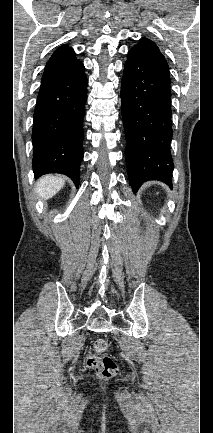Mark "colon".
<instances>
[{
	"mask_svg": "<svg viewBox=\"0 0 213 433\" xmlns=\"http://www.w3.org/2000/svg\"><path fill=\"white\" fill-rule=\"evenodd\" d=\"M109 344L105 339H97L93 343V352L86 359V365L102 378H109L117 371L114 360L109 356H102L108 350Z\"/></svg>",
	"mask_w": 213,
	"mask_h": 433,
	"instance_id": "obj_1",
	"label": "colon"
}]
</instances>
